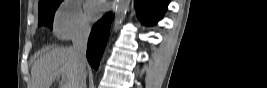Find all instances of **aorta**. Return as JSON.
I'll use <instances>...</instances> for the list:
<instances>
[{"instance_id":"1","label":"aorta","mask_w":267,"mask_h":88,"mask_svg":"<svg viewBox=\"0 0 267 88\" xmlns=\"http://www.w3.org/2000/svg\"><path fill=\"white\" fill-rule=\"evenodd\" d=\"M130 0H117L115 3V22L113 26L114 32H117L119 29V24L125 18L128 11Z\"/></svg>"}]
</instances>
